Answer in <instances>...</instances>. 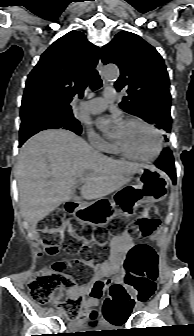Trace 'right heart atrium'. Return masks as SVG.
Returning a JSON list of instances; mask_svg holds the SVG:
<instances>
[{
  "label": "right heart atrium",
  "instance_id": "1",
  "mask_svg": "<svg viewBox=\"0 0 194 336\" xmlns=\"http://www.w3.org/2000/svg\"><path fill=\"white\" fill-rule=\"evenodd\" d=\"M88 140L96 150L106 152L111 149V145L93 130H88Z\"/></svg>",
  "mask_w": 194,
  "mask_h": 336
}]
</instances>
